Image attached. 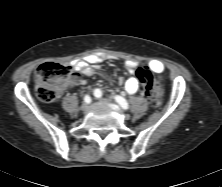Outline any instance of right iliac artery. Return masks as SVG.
<instances>
[{
	"label": "right iliac artery",
	"instance_id": "obj_1",
	"mask_svg": "<svg viewBox=\"0 0 222 187\" xmlns=\"http://www.w3.org/2000/svg\"><path fill=\"white\" fill-rule=\"evenodd\" d=\"M84 101H85L86 103H90V102H91L90 96H89V95H86V96L84 97Z\"/></svg>",
	"mask_w": 222,
	"mask_h": 187
}]
</instances>
